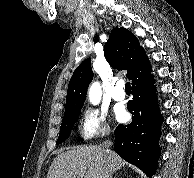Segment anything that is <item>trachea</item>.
Masks as SVG:
<instances>
[{
  "mask_svg": "<svg viewBox=\"0 0 194 178\" xmlns=\"http://www.w3.org/2000/svg\"><path fill=\"white\" fill-rule=\"evenodd\" d=\"M125 91H126V92H131V85H130V82H126V84H125Z\"/></svg>",
  "mask_w": 194,
  "mask_h": 178,
  "instance_id": "1",
  "label": "trachea"
}]
</instances>
